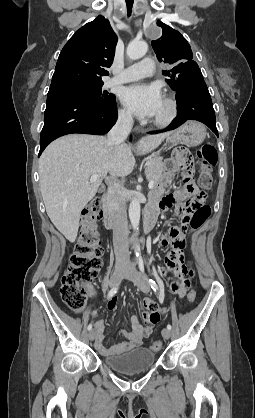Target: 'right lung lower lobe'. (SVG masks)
Masks as SVG:
<instances>
[{"label": "right lung lower lobe", "instance_id": "98d812e1", "mask_svg": "<svg viewBox=\"0 0 255 418\" xmlns=\"http://www.w3.org/2000/svg\"><path fill=\"white\" fill-rule=\"evenodd\" d=\"M116 120V101L103 105L77 95H50L40 135L39 156L58 137L71 133L103 135Z\"/></svg>", "mask_w": 255, "mask_h": 418}]
</instances>
